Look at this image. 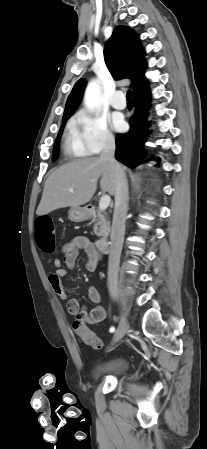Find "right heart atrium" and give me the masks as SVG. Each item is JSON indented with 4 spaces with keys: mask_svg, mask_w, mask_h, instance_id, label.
<instances>
[{
    "mask_svg": "<svg viewBox=\"0 0 207 449\" xmlns=\"http://www.w3.org/2000/svg\"><path fill=\"white\" fill-rule=\"evenodd\" d=\"M78 136L88 154L95 155L115 143L105 118L82 110L75 117Z\"/></svg>",
    "mask_w": 207,
    "mask_h": 449,
    "instance_id": "right-heart-atrium-1",
    "label": "right heart atrium"
}]
</instances>
